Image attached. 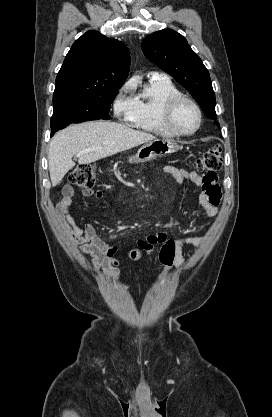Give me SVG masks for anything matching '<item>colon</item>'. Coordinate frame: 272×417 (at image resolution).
Returning a JSON list of instances; mask_svg holds the SVG:
<instances>
[{
    "mask_svg": "<svg viewBox=\"0 0 272 417\" xmlns=\"http://www.w3.org/2000/svg\"><path fill=\"white\" fill-rule=\"evenodd\" d=\"M221 166L222 149L218 145L200 156L193 164L197 171L205 174H214ZM96 178L97 171L94 165L80 164L70 173L69 182L82 188H89L94 185ZM153 254H158L159 261L163 266L161 278H165L174 267L176 242L168 238L163 242L140 243L130 252L129 256L132 261H138Z\"/></svg>",
    "mask_w": 272,
    "mask_h": 417,
    "instance_id": "obj_1",
    "label": "colon"
}]
</instances>
